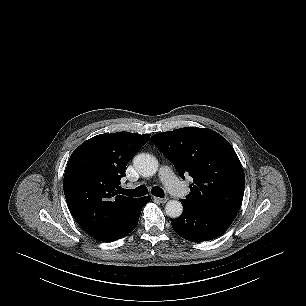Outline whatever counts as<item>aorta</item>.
Here are the masks:
<instances>
[{"mask_svg": "<svg viewBox=\"0 0 306 306\" xmlns=\"http://www.w3.org/2000/svg\"><path fill=\"white\" fill-rule=\"evenodd\" d=\"M133 165L136 171L144 176H153L158 170V161L150 154L141 153L134 157ZM183 211L181 202L170 200L165 205V212L171 218H178Z\"/></svg>", "mask_w": 306, "mask_h": 306, "instance_id": "762f6f07", "label": "aorta"}]
</instances>
